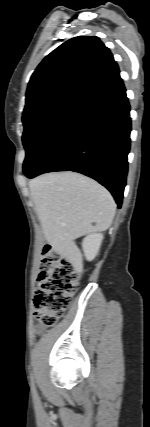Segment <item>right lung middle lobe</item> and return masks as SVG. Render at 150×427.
<instances>
[{
	"label": "right lung middle lobe",
	"instance_id": "obj_1",
	"mask_svg": "<svg viewBox=\"0 0 150 427\" xmlns=\"http://www.w3.org/2000/svg\"><path fill=\"white\" fill-rule=\"evenodd\" d=\"M80 107L54 104L37 108L23 115V144L26 158L23 172L29 176Z\"/></svg>",
	"mask_w": 150,
	"mask_h": 427
}]
</instances>
